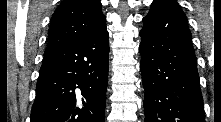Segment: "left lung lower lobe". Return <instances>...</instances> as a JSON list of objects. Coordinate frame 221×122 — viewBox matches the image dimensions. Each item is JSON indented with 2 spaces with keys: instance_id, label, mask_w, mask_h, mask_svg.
<instances>
[{
  "instance_id": "0a47b994",
  "label": "left lung lower lobe",
  "mask_w": 221,
  "mask_h": 122,
  "mask_svg": "<svg viewBox=\"0 0 221 122\" xmlns=\"http://www.w3.org/2000/svg\"><path fill=\"white\" fill-rule=\"evenodd\" d=\"M140 31L145 122H205L197 60L175 0H154Z\"/></svg>"
}]
</instances>
